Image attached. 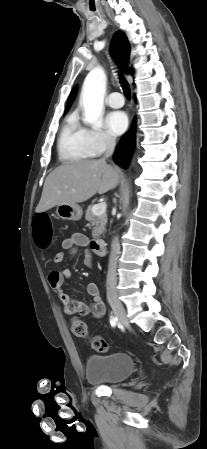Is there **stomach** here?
<instances>
[{
	"label": "stomach",
	"instance_id": "0dacf381",
	"mask_svg": "<svg viewBox=\"0 0 207 449\" xmlns=\"http://www.w3.org/2000/svg\"><path fill=\"white\" fill-rule=\"evenodd\" d=\"M56 214L64 220L78 221L82 218L83 211L78 204H60L56 208Z\"/></svg>",
	"mask_w": 207,
	"mask_h": 449
}]
</instances>
